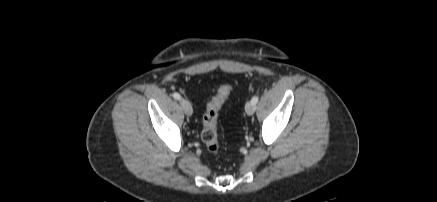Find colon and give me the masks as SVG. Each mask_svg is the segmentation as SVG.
<instances>
[{"label": "colon", "mask_w": 437, "mask_h": 202, "mask_svg": "<svg viewBox=\"0 0 437 202\" xmlns=\"http://www.w3.org/2000/svg\"><path fill=\"white\" fill-rule=\"evenodd\" d=\"M232 90L230 84H223L219 87L217 94L207 104L203 115V129L201 139L207 150L211 153H216L219 149L218 140V113Z\"/></svg>", "instance_id": "1"}]
</instances>
